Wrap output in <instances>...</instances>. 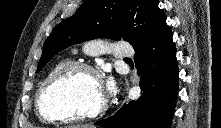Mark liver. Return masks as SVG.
Wrapping results in <instances>:
<instances>
[{
    "label": "liver",
    "mask_w": 221,
    "mask_h": 128,
    "mask_svg": "<svg viewBox=\"0 0 221 128\" xmlns=\"http://www.w3.org/2000/svg\"><path fill=\"white\" fill-rule=\"evenodd\" d=\"M68 128H94L93 125H72V126H69Z\"/></svg>",
    "instance_id": "liver-1"
}]
</instances>
